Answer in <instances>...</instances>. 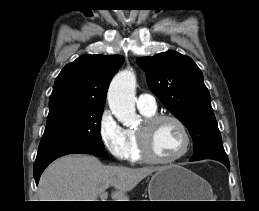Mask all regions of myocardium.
I'll list each match as a JSON object with an SVG mask.
<instances>
[{"instance_id":"myocardium-1","label":"myocardium","mask_w":259,"mask_h":211,"mask_svg":"<svg viewBox=\"0 0 259 211\" xmlns=\"http://www.w3.org/2000/svg\"><path fill=\"white\" fill-rule=\"evenodd\" d=\"M172 121L174 122L180 129L183 138L184 145L182 150L171 158H159L156 157L150 148L149 143V130L153 128L155 125L159 124L162 121ZM139 151L142 156V159L155 164H170L178 161L182 157H184L190 149L191 146V136L185 125V123L177 116L172 114H154L149 117H145L142 126L136 131Z\"/></svg>"}]
</instances>
